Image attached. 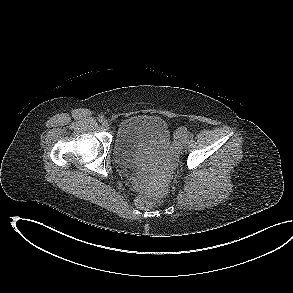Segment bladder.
Wrapping results in <instances>:
<instances>
[{"label":"bladder","mask_w":293,"mask_h":293,"mask_svg":"<svg viewBox=\"0 0 293 293\" xmlns=\"http://www.w3.org/2000/svg\"><path fill=\"white\" fill-rule=\"evenodd\" d=\"M170 131L159 116L136 114L123 119L113 144L115 161L125 167L135 168L143 163L142 150L148 146H166Z\"/></svg>","instance_id":"1"}]
</instances>
